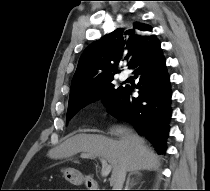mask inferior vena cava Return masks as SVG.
<instances>
[{
  "instance_id": "inferior-vena-cava-1",
  "label": "inferior vena cava",
  "mask_w": 210,
  "mask_h": 191,
  "mask_svg": "<svg viewBox=\"0 0 210 191\" xmlns=\"http://www.w3.org/2000/svg\"><path fill=\"white\" fill-rule=\"evenodd\" d=\"M127 169L125 166H122L120 170L117 172L114 181L112 183L113 190H122L123 184L125 181Z\"/></svg>"
}]
</instances>
